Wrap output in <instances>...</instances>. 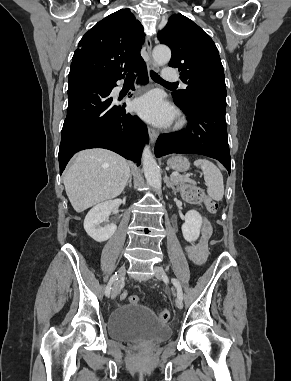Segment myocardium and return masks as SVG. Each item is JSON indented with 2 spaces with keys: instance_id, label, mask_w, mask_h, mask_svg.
<instances>
[{
  "instance_id": "myocardium-1",
  "label": "myocardium",
  "mask_w": 291,
  "mask_h": 381,
  "mask_svg": "<svg viewBox=\"0 0 291 381\" xmlns=\"http://www.w3.org/2000/svg\"><path fill=\"white\" fill-rule=\"evenodd\" d=\"M184 124H185L184 118H180L178 123H177V127H182Z\"/></svg>"
}]
</instances>
